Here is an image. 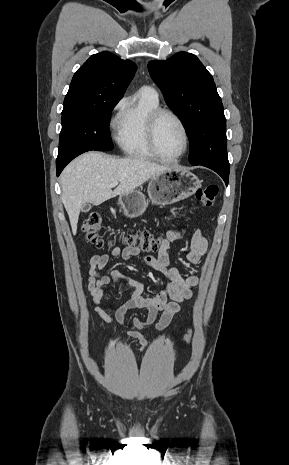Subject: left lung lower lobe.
I'll use <instances>...</instances> for the list:
<instances>
[{"label": "left lung lower lobe", "mask_w": 289, "mask_h": 465, "mask_svg": "<svg viewBox=\"0 0 289 465\" xmlns=\"http://www.w3.org/2000/svg\"><path fill=\"white\" fill-rule=\"evenodd\" d=\"M199 165H202V166H205V167H208L214 170L216 173H218L222 177L225 184L228 185L230 167H221V166L211 165V164H199Z\"/></svg>", "instance_id": "1"}]
</instances>
